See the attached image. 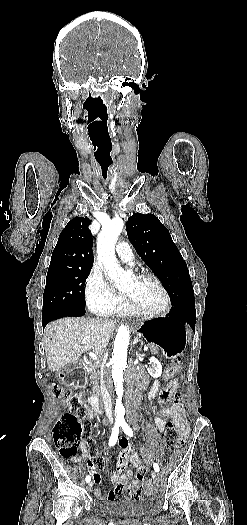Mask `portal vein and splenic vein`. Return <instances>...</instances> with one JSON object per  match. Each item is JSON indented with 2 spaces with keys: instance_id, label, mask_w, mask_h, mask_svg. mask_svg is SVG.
<instances>
[{
  "instance_id": "obj_1",
  "label": "portal vein and splenic vein",
  "mask_w": 247,
  "mask_h": 525,
  "mask_svg": "<svg viewBox=\"0 0 247 525\" xmlns=\"http://www.w3.org/2000/svg\"><path fill=\"white\" fill-rule=\"evenodd\" d=\"M145 350H149V345H146ZM88 356L91 360L99 361L98 354L94 353L93 351H90Z\"/></svg>"
}]
</instances>
